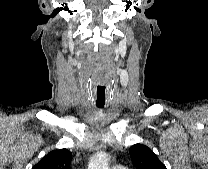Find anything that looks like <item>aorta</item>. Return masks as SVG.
I'll list each match as a JSON object with an SVG mask.
<instances>
[{
  "mask_svg": "<svg viewBox=\"0 0 208 169\" xmlns=\"http://www.w3.org/2000/svg\"><path fill=\"white\" fill-rule=\"evenodd\" d=\"M88 169H109L108 155L103 151L96 153L90 159Z\"/></svg>",
  "mask_w": 208,
  "mask_h": 169,
  "instance_id": "762f6f07",
  "label": "aorta"
}]
</instances>
